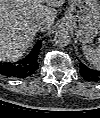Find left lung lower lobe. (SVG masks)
<instances>
[{
  "label": "left lung lower lobe",
  "instance_id": "left-lung-lower-lobe-1",
  "mask_svg": "<svg viewBox=\"0 0 100 118\" xmlns=\"http://www.w3.org/2000/svg\"><path fill=\"white\" fill-rule=\"evenodd\" d=\"M80 74L89 82L100 81V71L90 69L82 63H80Z\"/></svg>",
  "mask_w": 100,
  "mask_h": 118
}]
</instances>
